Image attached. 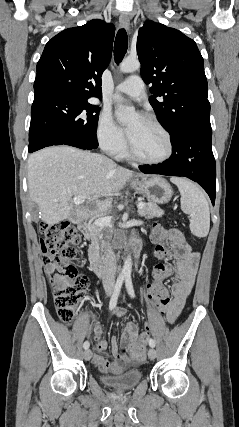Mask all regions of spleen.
I'll return each mask as SVG.
<instances>
[{
	"instance_id": "obj_1",
	"label": "spleen",
	"mask_w": 239,
	"mask_h": 427,
	"mask_svg": "<svg viewBox=\"0 0 239 427\" xmlns=\"http://www.w3.org/2000/svg\"><path fill=\"white\" fill-rule=\"evenodd\" d=\"M181 194V209L190 216V230L199 238L206 237L210 228V211L208 201L203 191L193 182L173 177Z\"/></svg>"
}]
</instances>
